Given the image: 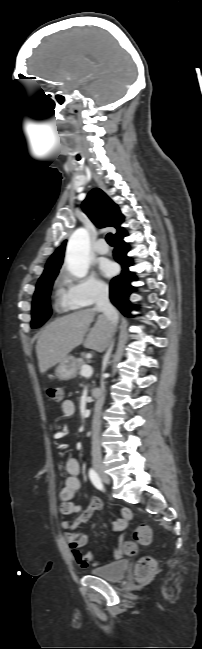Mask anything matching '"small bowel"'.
<instances>
[{"instance_id": "1", "label": "small bowel", "mask_w": 202, "mask_h": 649, "mask_svg": "<svg viewBox=\"0 0 202 649\" xmlns=\"http://www.w3.org/2000/svg\"><path fill=\"white\" fill-rule=\"evenodd\" d=\"M61 411L66 417L74 415V402L71 399L64 400L61 403ZM59 435L61 436V434ZM65 471L67 473V477L65 479L64 486L59 492V498L61 500V527L65 531L64 536L68 543L70 553L76 563L82 568H87L89 566H99L103 564L105 559L96 558L93 552L82 553L80 549L87 544L88 539L86 535L78 534L75 532V530L81 524L88 522L94 511L102 509L104 504L99 498L92 499V501L85 507L75 503L73 499L81 488V481L79 479L81 466L78 459L74 457L67 459L65 462ZM72 514H77V517L72 522H70L67 517ZM131 517V511L126 508L123 509L121 517L113 523L111 529L115 532L123 531L127 527V524ZM123 545V537L119 536L117 539V545L111 552L112 558L117 559L123 555Z\"/></svg>"}]
</instances>
